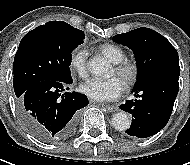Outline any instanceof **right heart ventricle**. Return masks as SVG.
Instances as JSON below:
<instances>
[{
  "label": "right heart ventricle",
  "mask_w": 190,
  "mask_h": 165,
  "mask_svg": "<svg viewBox=\"0 0 190 165\" xmlns=\"http://www.w3.org/2000/svg\"><path fill=\"white\" fill-rule=\"evenodd\" d=\"M100 52L113 63H119L126 58V54L122 48L114 44H104L100 47Z\"/></svg>",
  "instance_id": "1"
}]
</instances>
